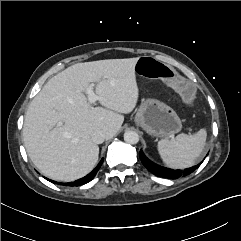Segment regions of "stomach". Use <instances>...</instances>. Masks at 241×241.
<instances>
[{
	"label": "stomach",
	"instance_id": "1",
	"mask_svg": "<svg viewBox=\"0 0 241 241\" xmlns=\"http://www.w3.org/2000/svg\"><path fill=\"white\" fill-rule=\"evenodd\" d=\"M134 121L153 137H169L182 129L175 110L157 99L143 100Z\"/></svg>",
	"mask_w": 241,
	"mask_h": 241
}]
</instances>
